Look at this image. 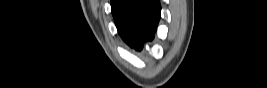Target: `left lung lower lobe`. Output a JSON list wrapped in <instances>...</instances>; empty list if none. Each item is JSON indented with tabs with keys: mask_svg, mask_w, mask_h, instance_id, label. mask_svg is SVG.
Listing matches in <instances>:
<instances>
[{
	"mask_svg": "<svg viewBox=\"0 0 267 88\" xmlns=\"http://www.w3.org/2000/svg\"><path fill=\"white\" fill-rule=\"evenodd\" d=\"M112 14L123 40L138 50L152 40L160 18L158 0H112Z\"/></svg>",
	"mask_w": 267,
	"mask_h": 88,
	"instance_id": "1",
	"label": "left lung lower lobe"
}]
</instances>
